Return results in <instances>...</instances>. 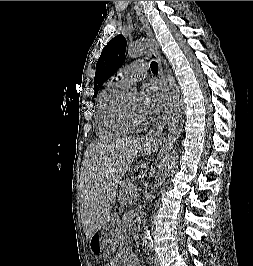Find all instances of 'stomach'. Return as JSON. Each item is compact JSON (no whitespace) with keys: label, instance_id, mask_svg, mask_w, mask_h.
<instances>
[{"label":"stomach","instance_id":"obj_1","mask_svg":"<svg viewBox=\"0 0 253 266\" xmlns=\"http://www.w3.org/2000/svg\"><path fill=\"white\" fill-rule=\"evenodd\" d=\"M155 146V143L144 144L141 153L147 155ZM121 236V221L116 213H111L102 225L96 231L89 241L91 252L97 258L109 257L117 248Z\"/></svg>","mask_w":253,"mask_h":266}]
</instances>
